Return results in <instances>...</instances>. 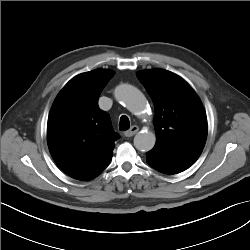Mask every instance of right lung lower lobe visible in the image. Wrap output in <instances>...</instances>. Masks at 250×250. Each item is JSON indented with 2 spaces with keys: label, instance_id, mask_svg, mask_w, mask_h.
<instances>
[{
  "label": "right lung lower lobe",
  "instance_id": "1",
  "mask_svg": "<svg viewBox=\"0 0 250 250\" xmlns=\"http://www.w3.org/2000/svg\"><path fill=\"white\" fill-rule=\"evenodd\" d=\"M110 161H111V158L108 159L107 161H105L103 164H101L99 167L94 169L89 174L85 175L80 180L87 181V180H91V179L97 177L109 165Z\"/></svg>",
  "mask_w": 250,
  "mask_h": 250
}]
</instances>
